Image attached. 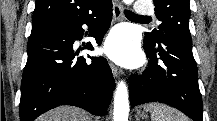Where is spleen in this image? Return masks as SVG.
Masks as SVG:
<instances>
[{"label": "spleen", "instance_id": "spleen-1", "mask_svg": "<svg viewBox=\"0 0 217 121\" xmlns=\"http://www.w3.org/2000/svg\"><path fill=\"white\" fill-rule=\"evenodd\" d=\"M146 110L151 112L152 121H188L185 115L164 104H148Z\"/></svg>", "mask_w": 217, "mask_h": 121}]
</instances>
